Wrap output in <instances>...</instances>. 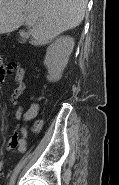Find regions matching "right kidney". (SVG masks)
<instances>
[{
  "label": "right kidney",
  "instance_id": "right-kidney-1",
  "mask_svg": "<svg viewBox=\"0 0 119 185\" xmlns=\"http://www.w3.org/2000/svg\"><path fill=\"white\" fill-rule=\"evenodd\" d=\"M73 47L74 39L63 36L47 48L44 64L48 70L47 79L49 81L55 82L61 78V74L69 61Z\"/></svg>",
  "mask_w": 119,
  "mask_h": 185
}]
</instances>
